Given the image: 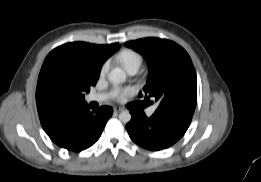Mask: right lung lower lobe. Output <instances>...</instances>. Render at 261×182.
Masks as SVG:
<instances>
[{
    "mask_svg": "<svg viewBox=\"0 0 261 182\" xmlns=\"http://www.w3.org/2000/svg\"><path fill=\"white\" fill-rule=\"evenodd\" d=\"M112 113L113 109L109 106L101 107L96 113L91 112L87 104L78 106L67 112L46 133L58 146L80 152L99 139Z\"/></svg>",
    "mask_w": 261,
    "mask_h": 182,
    "instance_id": "1",
    "label": "right lung lower lobe"
}]
</instances>
